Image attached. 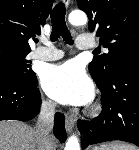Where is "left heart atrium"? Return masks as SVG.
Masks as SVG:
<instances>
[{
  "label": "left heart atrium",
  "mask_w": 139,
  "mask_h": 150,
  "mask_svg": "<svg viewBox=\"0 0 139 150\" xmlns=\"http://www.w3.org/2000/svg\"><path fill=\"white\" fill-rule=\"evenodd\" d=\"M41 84L49 97L62 104L85 105L94 97L92 82L74 61L46 68Z\"/></svg>",
  "instance_id": "39dd6f15"
}]
</instances>
